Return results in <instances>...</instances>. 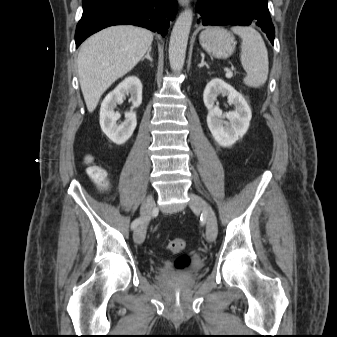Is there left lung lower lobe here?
I'll list each match as a JSON object with an SVG mask.
<instances>
[{"mask_svg":"<svg viewBox=\"0 0 337 337\" xmlns=\"http://www.w3.org/2000/svg\"><path fill=\"white\" fill-rule=\"evenodd\" d=\"M196 11L203 25H256L274 44L275 30L268 0H198Z\"/></svg>","mask_w":337,"mask_h":337,"instance_id":"0a47b994","label":"left lung lower lobe"}]
</instances>
